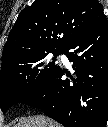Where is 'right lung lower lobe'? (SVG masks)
Here are the masks:
<instances>
[{
  "label": "right lung lower lobe",
  "mask_w": 108,
  "mask_h": 127,
  "mask_svg": "<svg viewBox=\"0 0 108 127\" xmlns=\"http://www.w3.org/2000/svg\"><path fill=\"white\" fill-rule=\"evenodd\" d=\"M75 78L58 68L20 103L43 109L65 127H104L108 120V21L84 31L64 49Z\"/></svg>",
  "instance_id": "right-lung-lower-lobe-1"
}]
</instances>
